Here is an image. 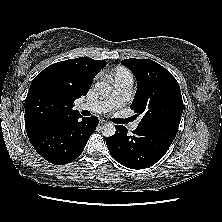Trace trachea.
<instances>
[{
    "mask_svg": "<svg viewBox=\"0 0 222 222\" xmlns=\"http://www.w3.org/2000/svg\"><path fill=\"white\" fill-rule=\"evenodd\" d=\"M82 114L85 115V116H89L90 113H89V111H87V110H83V111H82ZM129 121H130L129 119H126V120L120 119V120H118V122H119V123H122V124H123V123H126V122H129Z\"/></svg>",
    "mask_w": 222,
    "mask_h": 222,
    "instance_id": "1",
    "label": "trachea"
}]
</instances>
